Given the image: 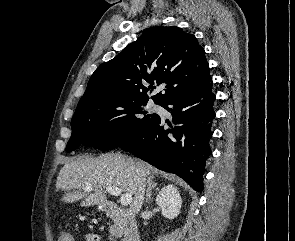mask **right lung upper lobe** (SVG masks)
<instances>
[{
  "label": "right lung upper lobe",
  "mask_w": 295,
  "mask_h": 241,
  "mask_svg": "<svg viewBox=\"0 0 295 241\" xmlns=\"http://www.w3.org/2000/svg\"><path fill=\"white\" fill-rule=\"evenodd\" d=\"M210 80L205 51L193 34L174 26L152 27L94 71L80 101L121 97L147 102L153 85L165 84L163 94L151 97L162 105Z\"/></svg>",
  "instance_id": "cb5924a9"
}]
</instances>
